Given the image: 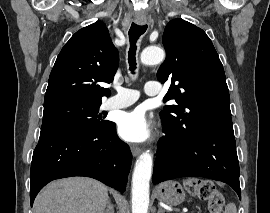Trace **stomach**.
<instances>
[{
  "mask_svg": "<svg viewBox=\"0 0 270 213\" xmlns=\"http://www.w3.org/2000/svg\"><path fill=\"white\" fill-rule=\"evenodd\" d=\"M156 196L159 201L175 206L184 201L185 192L177 181H167L157 187Z\"/></svg>",
  "mask_w": 270,
  "mask_h": 213,
  "instance_id": "1",
  "label": "stomach"
}]
</instances>
